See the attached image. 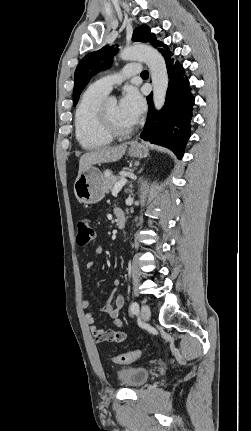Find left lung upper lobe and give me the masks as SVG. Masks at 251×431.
Wrapping results in <instances>:
<instances>
[{"instance_id": "left-lung-upper-lobe-1", "label": "left lung upper lobe", "mask_w": 251, "mask_h": 431, "mask_svg": "<svg viewBox=\"0 0 251 431\" xmlns=\"http://www.w3.org/2000/svg\"><path fill=\"white\" fill-rule=\"evenodd\" d=\"M132 39L140 42H150L152 45L156 41L154 34H151L150 29L146 25L136 28ZM117 48L113 46H104L103 48L87 54L79 62L75 71V85L73 90V105L78 102L79 96L87 85L89 80L97 72L106 70L112 63V57L117 52Z\"/></svg>"}]
</instances>
